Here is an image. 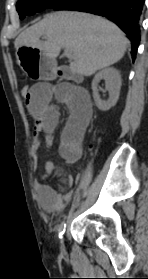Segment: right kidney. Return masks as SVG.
<instances>
[{"label": "right kidney", "instance_id": "right-kidney-1", "mask_svg": "<svg viewBox=\"0 0 148 279\" xmlns=\"http://www.w3.org/2000/svg\"><path fill=\"white\" fill-rule=\"evenodd\" d=\"M102 79L105 80L106 90L109 92L107 101L101 100L98 92V84ZM120 88L121 75L117 69L109 67L99 71L92 81L93 98L97 108L108 111L114 107L119 99Z\"/></svg>", "mask_w": 148, "mask_h": 279}]
</instances>
